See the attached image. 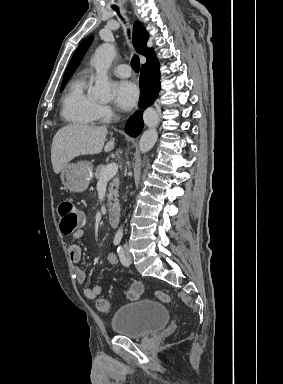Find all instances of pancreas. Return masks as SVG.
<instances>
[{"label":"pancreas","mask_w":283,"mask_h":384,"mask_svg":"<svg viewBox=\"0 0 283 384\" xmlns=\"http://www.w3.org/2000/svg\"><path fill=\"white\" fill-rule=\"evenodd\" d=\"M105 168V166H97L95 170V178L96 180H100L101 172ZM118 188H119V178H115L113 182L110 184V194H108V202L110 208H116L118 206Z\"/></svg>","instance_id":"obj_1"}]
</instances>
